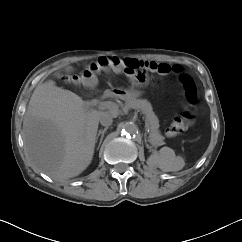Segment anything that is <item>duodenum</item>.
Here are the masks:
<instances>
[{
    "mask_svg": "<svg viewBox=\"0 0 242 242\" xmlns=\"http://www.w3.org/2000/svg\"><path fill=\"white\" fill-rule=\"evenodd\" d=\"M115 92L114 91H106L102 94V98L108 99L111 97H114Z\"/></svg>",
    "mask_w": 242,
    "mask_h": 242,
    "instance_id": "obj_1",
    "label": "duodenum"
}]
</instances>
